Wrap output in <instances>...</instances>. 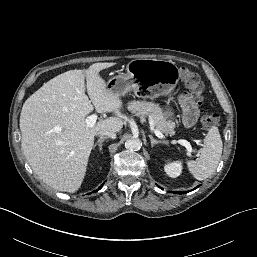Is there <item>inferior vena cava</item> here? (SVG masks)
I'll list each match as a JSON object with an SVG mask.
<instances>
[{"label":"inferior vena cava","mask_w":257,"mask_h":257,"mask_svg":"<svg viewBox=\"0 0 257 257\" xmlns=\"http://www.w3.org/2000/svg\"><path fill=\"white\" fill-rule=\"evenodd\" d=\"M99 135H100V138L101 137H107L112 139L116 138V133L114 131H101Z\"/></svg>","instance_id":"1"}]
</instances>
